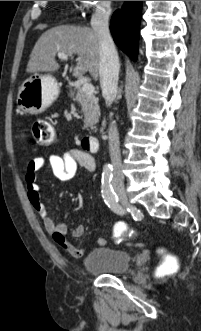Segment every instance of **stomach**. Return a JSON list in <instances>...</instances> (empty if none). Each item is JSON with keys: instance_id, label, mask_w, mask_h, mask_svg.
<instances>
[{"instance_id": "1", "label": "stomach", "mask_w": 201, "mask_h": 331, "mask_svg": "<svg viewBox=\"0 0 201 331\" xmlns=\"http://www.w3.org/2000/svg\"><path fill=\"white\" fill-rule=\"evenodd\" d=\"M60 88L51 75L35 74L26 79L18 90L17 105L24 113H43L59 96Z\"/></svg>"}]
</instances>
